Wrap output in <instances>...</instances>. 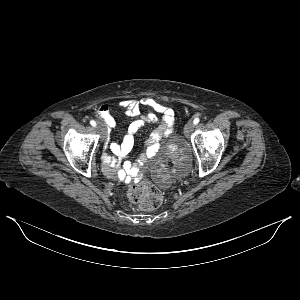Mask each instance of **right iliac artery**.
Instances as JSON below:
<instances>
[{
    "label": "right iliac artery",
    "instance_id": "right-iliac-artery-1",
    "mask_svg": "<svg viewBox=\"0 0 300 300\" xmlns=\"http://www.w3.org/2000/svg\"><path fill=\"white\" fill-rule=\"evenodd\" d=\"M90 124L93 126V127H96V122L94 120H91L90 121Z\"/></svg>",
    "mask_w": 300,
    "mask_h": 300
}]
</instances>
